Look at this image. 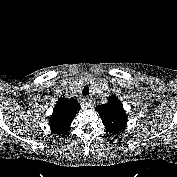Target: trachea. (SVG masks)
I'll return each instance as SVG.
<instances>
[{
  "mask_svg": "<svg viewBox=\"0 0 177 177\" xmlns=\"http://www.w3.org/2000/svg\"><path fill=\"white\" fill-rule=\"evenodd\" d=\"M82 94H83V96L89 95V87H88V86H85V87L83 88Z\"/></svg>",
  "mask_w": 177,
  "mask_h": 177,
  "instance_id": "obj_1",
  "label": "trachea"
}]
</instances>
